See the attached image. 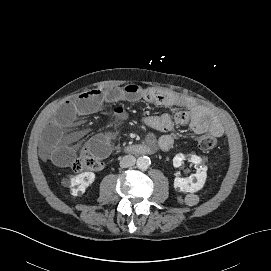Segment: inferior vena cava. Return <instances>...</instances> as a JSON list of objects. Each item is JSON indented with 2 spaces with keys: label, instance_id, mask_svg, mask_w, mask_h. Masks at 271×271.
Listing matches in <instances>:
<instances>
[{
  "label": "inferior vena cava",
  "instance_id": "602c4592",
  "mask_svg": "<svg viewBox=\"0 0 271 271\" xmlns=\"http://www.w3.org/2000/svg\"><path fill=\"white\" fill-rule=\"evenodd\" d=\"M136 158L132 155H126L120 160V166L122 168H128L135 164Z\"/></svg>",
  "mask_w": 271,
  "mask_h": 271
}]
</instances>
